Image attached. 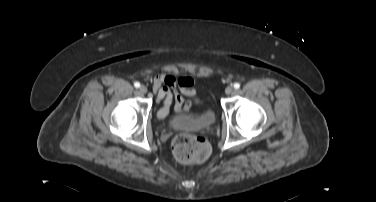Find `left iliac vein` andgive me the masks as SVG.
I'll use <instances>...</instances> for the list:
<instances>
[{
    "instance_id": "obj_1",
    "label": "left iliac vein",
    "mask_w": 376,
    "mask_h": 202,
    "mask_svg": "<svg viewBox=\"0 0 376 202\" xmlns=\"http://www.w3.org/2000/svg\"><path fill=\"white\" fill-rule=\"evenodd\" d=\"M233 91H234L233 86H228V87L225 89V93H226L227 95L231 94Z\"/></svg>"
}]
</instances>
